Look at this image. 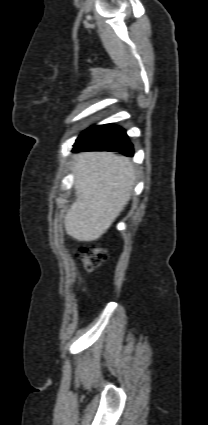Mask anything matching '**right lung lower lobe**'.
I'll list each match as a JSON object with an SVG mask.
<instances>
[{"instance_id": "obj_1", "label": "right lung lower lobe", "mask_w": 208, "mask_h": 425, "mask_svg": "<svg viewBox=\"0 0 208 425\" xmlns=\"http://www.w3.org/2000/svg\"><path fill=\"white\" fill-rule=\"evenodd\" d=\"M121 152L133 156V146L126 132L113 124L89 128L81 133L74 144L73 152L84 151Z\"/></svg>"}]
</instances>
